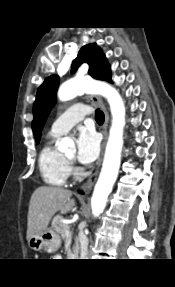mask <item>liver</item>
Segmentation results:
<instances>
[{"mask_svg":"<svg viewBox=\"0 0 175 287\" xmlns=\"http://www.w3.org/2000/svg\"><path fill=\"white\" fill-rule=\"evenodd\" d=\"M72 192L60 187L40 186L32 194L27 216V240L47 228L56 212L67 214L74 206Z\"/></svg>","mask_w":175,"mask_h":287,"instance_id":"liver-1","label":"liver"}]
</instances>
